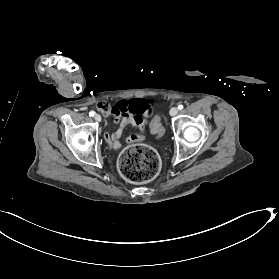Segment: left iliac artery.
<instances>
[{
	"mask_svg": "<svg viewBox=\"0 0 279 279\" xmlns=\"http://www.w3.org/2000/svg\"><path fill=\"white\" fill-rule=\"evenodd\" d=\"M178 109H179V110L183 109V105L180 104V105L178 106Z\"/></svg>",
	"mask_w": 279,
	"mask_h": 279,
	"instance_id": "44dca946",
	"label": "left iliac artery"
}]
</instances>
